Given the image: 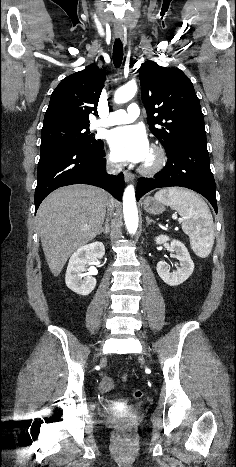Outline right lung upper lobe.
<instances>
[{"instance_id":"cb5924a9","label":"right lung upper lobe","mask_w":236,"mask_h":467,"mask_svg":"<svg viewBox=\"0 0 236 467\" xmlns=\"http://www.w3.org/2000/svg\"><path fill=\"white\" fill-rule=\"evenodd\" d=\"M105 76L104 70L92 64L63 79L51 95L42 130L89 125V114L96 111Z\"/></svg>"}]
</instances>
